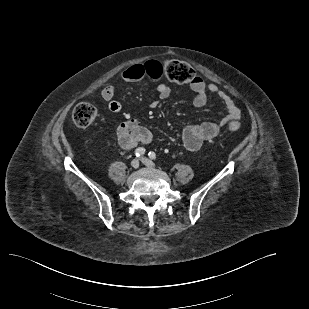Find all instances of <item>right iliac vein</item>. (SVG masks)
<instances>
[{
  "label": "right iliac vein",
  "mask_w": 309,
  "mask_h": 309,
  "mask_svg": "<svg viewBox=\"0 0 309 309\" xmlns=\"http://www.w3.org/2000/svg\"><path fill=\"white\" fill-rule=\"evenodd\" d=\"M131 166L133 167V168H138L139 167V159H133L132 161H131Z\"/></svg>",
  "instance_id": "63e3f726"
}]
</instances>
